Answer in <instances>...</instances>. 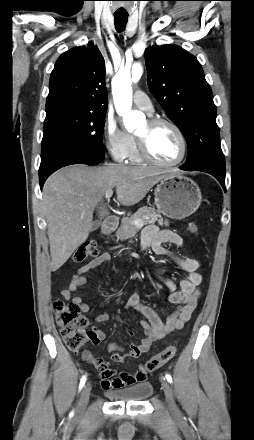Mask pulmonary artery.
<instances>
[{
  "label": "pulmonary artery",
  "instance_id": "obj_1",
  "mask_svg": "<svg viewBox=\"0 0 254 440\" xmlns=\"http://www.w3.org/2000/svg\"><path fill=\"white\" fill-rule=\"evenodd\" d=\"M134 104L140 109L144 110L148 115H152L154 112V108L152 102L148 98V96L142 91L138 90L133 95Z\"/></svg>",
  "mask_w": 254,
  "mask_h": 440
}]
</instances>
